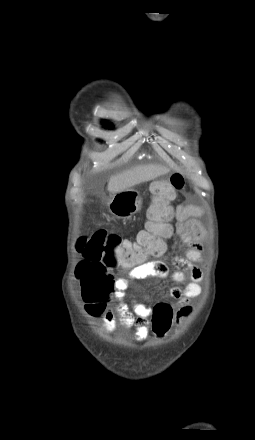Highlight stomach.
<instances>
[{"mask_svg":"<svg viewBox=\"0 0 255 440\" xmlns=\"http://www.w3.org/2000/svg\"><path fill=\"white\" fill-rule=\"evenodd\" d=\"M109 212L118 219H130L140 211L142 198L140 193L132 188L112 195L107 203Z\"/></svg>","mask_w":255,"mask_h":440,"instance_id":"1","label":"stomach"}]
</instances>
